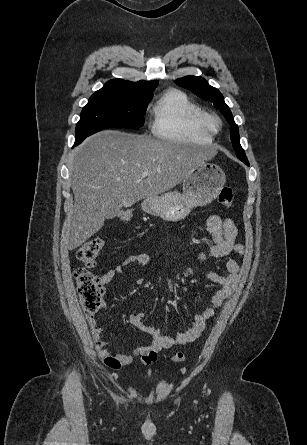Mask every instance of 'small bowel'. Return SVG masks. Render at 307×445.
Segmentation results:
<instances>
[{
  "instance_id": "c3829d8e",
  "label": "small bowel",
  "mask_w": 307,
  "mask_h": 445,
  "mask_svg": "<svg viewBox=\"0 0 307 445\" xmlns=\"http://www.w3.org/2000/svg\"><path fill=\"white\" fill-rule=\"evenodd\" d=\"M206 228L210 235V247L207 252L200 253L198 259L205 261L208 259H222L231 253L242 254L243 247L236 243L237 228L231 218L222 219L219 215H210L206 220ZM154 260L147 254H132L125 257L121 263L107 270L101 276L103 285L112 281L118 275L128 274L127 269L132 266H152ZM240 266L236 260L226 259L223 261V272L209 271L207 277L210 281L219 285V289L211 298L208 307L195 315L191 327L177 335H162L156 326L144 324V312H136L129 316V322L138 330L148 334L151 340L144 346L133 348L128 354H113L107 349V343L102 338L103 330L98 326V321L94 316L88 317V324L91 329L92 338L98 356L104 364L111 369L118 370L129 365L134 358L140 356L144 364H151L156 361L157 353L162 349H169L178 345H184L195 341L203 330L206 322L214 315L216 309L222 306L229 297L236 283Z\"/></svg>"
}]
</instances>
